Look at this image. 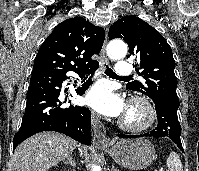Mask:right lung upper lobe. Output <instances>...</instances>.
<instances>
[{"mask_svg":"<svg viewBox=\"0 0 199 171\" xmlns=\"http://www.w3.org/2000/svg\"><path fill=\"white\" fill-rule=\"evenodd\" d=\"M105 31L82 17L66 19L46 38L35 58L32 74L81 71L97 63L91 59L100 52Z\"/></svg>","mask_w":199,"mask_h":171,"instance_id":"obj_1","label":"right lung upper lobe"}]
</instances>
